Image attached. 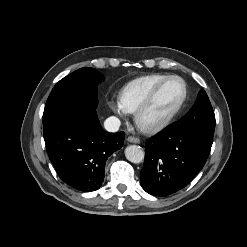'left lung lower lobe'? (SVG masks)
I'll return each mask as SVG.
<instances>
[{
    "instance_id": "0a47b994",
    "label": "left lung lower lobe",
    "mask_w": 247,
    "mask_h": 247,
    "mask_svg": "<svg viewBox=\"0 0 247 247\" xmlns=\"http://www.w3.org/2000/svg\"><path fill=\"white\" fill-rule=\"evenodd\" d=\"M213 143V134L189 132L175 123L146 144L142 188L156 196L172 194L192 181L203 168Z\"/></svg>"
}]
</instances>
